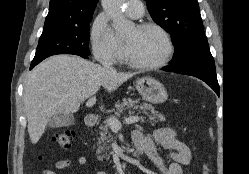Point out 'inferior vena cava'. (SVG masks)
<instances>
[{
    "instance_id": "inferior-vena-cava-1",
    "label": "inferior vena cava",
    "mask_w": 249,
    "mask_h": 174,
    "mask_svg": "<svg viewBox=\"0 0 249 174\" xmlns=\"http://www.w3.org/2000/svg\"><path fill=\"white\" fill-rule=\"evenodd\" d=\"M101 64H102L104 69L113 70L111 62H109V61H101Z\"/></svg>"
}]
</instances>
